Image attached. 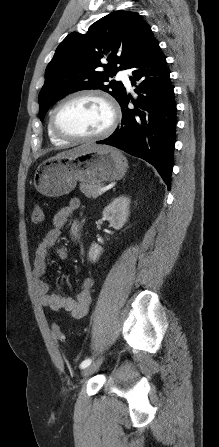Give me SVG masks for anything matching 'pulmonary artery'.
<instances>
[{"instance_id":"obj_1","label":"pulmonary artery","mask_w":219,"mask_h":447,"mask_svg":"<svg viewBox=\"0 0 219 447\" xmlns=\"http://www.w3.org/2000/svg\"><path fill=\"white\" fill-rule=\"evenodd\" d=\"M118 77L120 79H122V81L125 83V85L127 87H130V80L128 78L127 73L124 70H121V71L118 72Z\"/></svg>"}]
</instances>
